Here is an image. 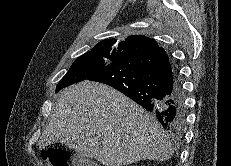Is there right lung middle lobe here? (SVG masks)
<instances>
[{"mask_svg": "<svg viewBox=\"0 0 231 166\" xmlns=\"http://www.w3.org/2000/svg\"><path fill=\"white\" fill-rule=\"evenodd\" d=\"M117 60L116 56L94 51L81 55L71 65L67 74L59 81L56 92L71 84L86 80Z\"/></svg>", "mask_w": 231, "mask_h": 166, "instance_id": "obj_1", "label": "right lung middle lobe"}]
</instances>
